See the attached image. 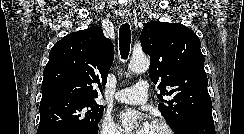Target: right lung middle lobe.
I'll list each match as a JSON object with an SVG mask.
<instances>
[{"instance_id":"obj_1","label":"right lung middle lobe","mask_w":244,"mask_h":134,"mask_svg":"<svg viewBox=\"0 0 244 134\" xmlns=\"http://www.w3.org/2000/svg\"><path fill=\"white\" fill-rule=\"evenodd\" d=\"M37 134H49L59 129L97 132L104 107L96 102L56 97L41 101Z\"/></svg>"}]
</instances>
